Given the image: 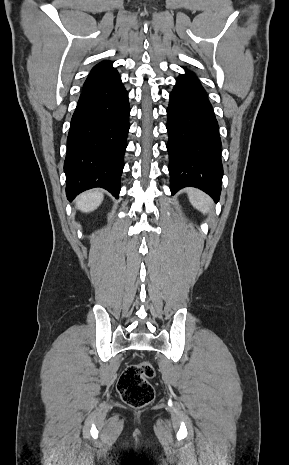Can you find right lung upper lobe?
I'll return each mask as SVG.
<instances>
[{"label":"right lung upper lobe","mask_w":289,"mask_h":465,"mask_svg":"<svg viewBox=\"0 0 289 465\" xmlns=\"http://www.w3.org/2000/svg\"><path fill=\"white\" fill-rule=\"evenodd\" d=\"M117 78H119V74L112 67V63L110 61H102L92 68L84 83L83 90L106 86Z\"/></svg>","instance_id":"right-lung-upper-lobe-1"}]
</instances>
